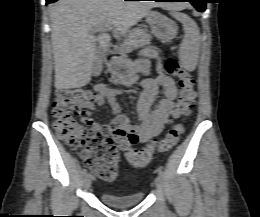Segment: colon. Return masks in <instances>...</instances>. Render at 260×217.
<instances>
[{"label": "colon", "instance_id": "colon-1", "mask_svg": "<svg viewBox=\"0 0 260 217\" xmlns=\"http://www.w3.org/2000/svg\"><path fill=\"white\" fill-rule=\"evenodd\" d=\"M165 70L179 79L180 92L174 108L175 116L189 115L195 105L194 78L173 58L166 61ZM99 102L98 94L90 90H59L53 102V127L57 136L81 157L85 167L102 180L115 179L119 152L129 165L142 168L157 152L169 150L184 131V126L178 124L155 145L141 150L133 148L126 139H120L116 143L104 130L89 123L82 124L77 118L80 117L77 112L79 109Z\"/></svg>", "mask_w": 260, "mask_h": 217}]
</instances>
